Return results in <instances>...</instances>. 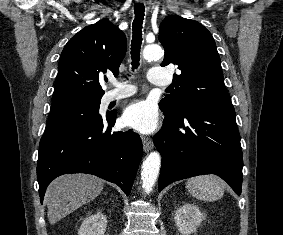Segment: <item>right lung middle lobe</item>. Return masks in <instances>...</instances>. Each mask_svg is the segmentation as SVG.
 Wrapping results in <instances>:
<instances>
[{
  "label": "right lung middle lobe",
  "mask_w": 283,
  "mask_h": 235,
  "mask_svg": "<svg viewBox=\"0 0 283 235\" xmlns=\"http://www.w3.org/2000/svg\"><path fill=\"white\" fill-rule=\"evenodd\" d=\"M100 102L101 98L77 97L53 103L44 134L100 116Z\"/></svg>",
  "instance_id": "1"
}]
</instances>
